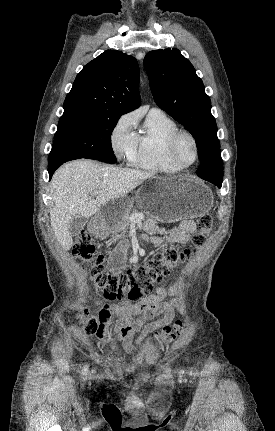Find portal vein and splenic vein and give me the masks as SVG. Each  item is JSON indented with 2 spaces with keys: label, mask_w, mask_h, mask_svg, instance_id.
Instances as JSON below:
<instances>
[{
  "label": "portal vein and splenic vein",
  "mask_w": 275,
  "mask_h": 431,
  "mask_svg": "<svg viewBox=\"0 0 275 431\" xmlns=\"http://www.w3.org/2000/svg\"><path fill=\"white\" fill-rule=\"evenodd\" d=\"M92 194L93 195H97L98 191L95 190V191L92 192ZM130 219H131V221L142 220V219H144V214L143 213L135 212V213L131 214Z\"/></svg>",
  "instance_id": "18ae733b"
}]
</instances>
